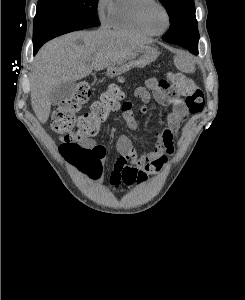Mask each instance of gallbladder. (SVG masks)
Wrapping results in <instances>:
<instances>
[{"mask_svg": "<svg viewBox=\"0 0 245 300\" xmlns=\"http://www.w3.org/2000/svg\"><path fill=\"white\" fill-rule=\"evenodd\" d=\"M76 91V82H66L57 86L50 95L52 105H61L71 99Z\"/></svg>", "mask_w": 245, "mask_h": 300, "instance_id": "1", "label": "gallbladder"}]
</instances>
